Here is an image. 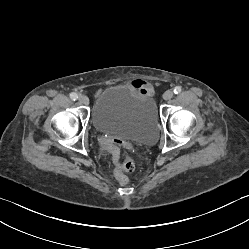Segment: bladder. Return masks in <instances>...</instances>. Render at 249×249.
<instances>
[{
  "instance_id": "1",
  "label": "bladder",
  "mask_w": 249,
  "mask_h": 249,
  "mask_svg": "<svg viewBox=\"0 0 249 249\" xmlns=\"http://www.w3.org/2000/svg\"><path fill=\"white\" fill-rule=\"evenodd\" d=\"M92 123L98 132L127 142L152 144L158 135V113L153 98L127 85L110 86L100 93Z\"/></svg>"
}]
</instances>
